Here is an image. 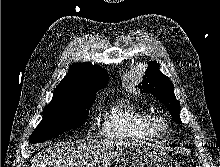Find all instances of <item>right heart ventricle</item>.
Returning a JSON list of instances; mask_svg holds the SVG:
<instances>
[{"instance_id":"obj_1","label":"right heart ventricle","mask_w":220,"mask_h":167,"mask_svg":"<svg viewBox=\"0 0 220 167\" xmlns=\"http://www.w3.org/2000/svg\"><path fill=\"white\" fill-rule=\"evenodd\" d=\"M150 115L148 110L127 98L116 99L103 113L101 135L116 141H152L146 130V122Z\"/></svg>"}]
</instances>
